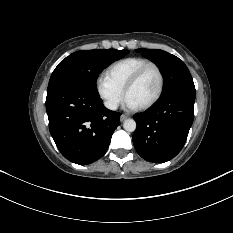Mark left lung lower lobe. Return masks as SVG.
<instances>
[{
	"mask_svg": "<svg viewBox=\"0 0 233 233\" xmlns=\"http://www.w3.org/2000/svg\"><path fill=\"white\" fill-rule=\"evenodd\" d=\"M195 92L177 91L164 96L146 112L137 113L133 144L145 160L163 163L184 146L194 118Z\"/></svg>",
	"mask_w": 233,
	"mask_h": 233,
	"instance_id": "1",
	"label": "left lung lower lobe"
}]
</instances>
